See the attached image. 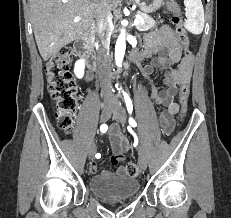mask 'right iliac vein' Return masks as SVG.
I'll use <instances>...</instances> for the list:
<instances>
[{
  "instance_id": "1",
  "label": "right iliac vein",
  "mask_w": 231,
  "mask_h": 218,
  "mask_svg": "<svg viewBox=\"0 0 231 218\" xmlns=\"http://www.w3.org/2000/svg\"><path fill=\"white\" fill-rule=\"evenodd\" d=\"M112 112H113V107L111 105H104L102 107L101 120L103 122H106L110 118ZM96 150H97L96 145L93 143L90 146L89 151H88L89 159H93L94 158Z\"/></svg>"
}]
</instances>
